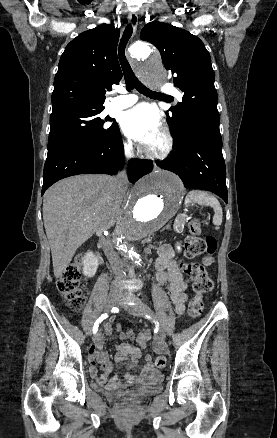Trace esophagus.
Segmentation results:
<instances>
[{
    "instance_id": "1",
    "label": "esophagus",
    "mask_w": 277,
    "mask_h": 438,
    "mask_svg": "<svg viewBox=\"0 0 277 438\" xmlns=\"http://www.w3.org/2000/svg\"><path fill=\"white\" fill-rule=\"evenodd\" d=\"M128 20L130 22V25L132 26L133 36H134L136 34L137 27H138V15H137V13L136 12H129ZM128 58H129V56H128ZM130 61H131V59H130Z\"/></svg>"
}]
</instances>
